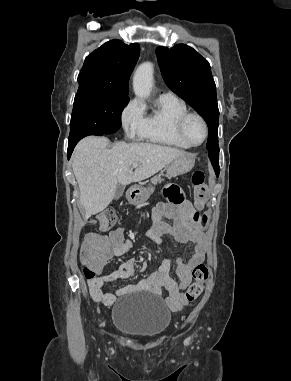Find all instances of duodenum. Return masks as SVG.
I'll use <instances>...</instances> for the list:
<instances>
[{"label": "duodenum", "instance_id": "410a0bca", "mask_svg": "<svg viewBox=\"0 0 291 381\" xmlns=\"http://www.w3.org/2000/svg\"><path fill=\"white\" fill-rule=\"evenodd\" d=\"M130 194H134V190L133 189H130Z\"/></svg>", "mask_w": 291, "mask_h": 381}]
</instances>
